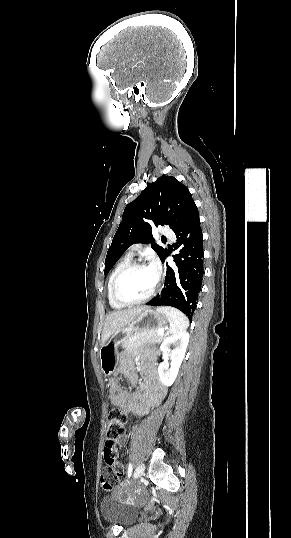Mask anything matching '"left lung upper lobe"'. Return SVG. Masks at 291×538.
I'll return each mask as SVG.
<instances>
[{"label":"left lung upper lobe","mask_w":291,"mask_h":538,"mask_svg":"<svg viewBox=\"0 0 291 538\" xmlns=\"http://www.w3.org/2000/svg\"><path fill=\"white\" fill-rule=\"evenodd\" d=\"M195 208L191 193L175 177L161 176L148 184L123 212L106 255L104 274L107 275L119 257L135 243H150L162 261L167 249L154 243L152 227L169 225L174 231Z\"/></svg>","instance_id":"1"}]
</instances>
